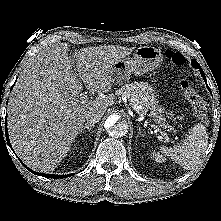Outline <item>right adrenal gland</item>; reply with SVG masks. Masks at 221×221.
Instances as JSON below:
<instances>
[{
  "mask_svg": "<svg viewBox=\"0 0 221 221\" xmlns=\"http://www.w3.org/2000/svg\"><path fill=\"white\" fill-rule=\"evenodd\" d=\"M94 124H90V123H86L84 126H82L81 130H80V136L86 132V129L88 132H90V130L94 127Z\"/></svg>",
  "mask_w": 221,
  "mask_h": 221,
  "instance_id": "2a0ac1e0",
  "label": "right adrenal gland"
}]
</instances>
